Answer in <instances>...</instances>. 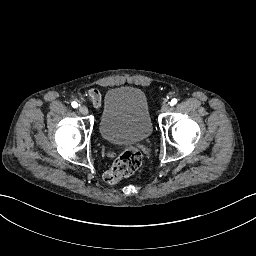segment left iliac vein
Segmentation results:
<instances>
[{
  "label": "left iliac vein",
  "mask_w": 256,
  "mask_h": 256,
  "mask_svg": "<svg viewBox=\"0 0 256 256\" xmlns=\"http://www.w3.org/2000/svg\"><path fill=\"white\" fill-rule=\"evenodd\" d=\"M171 109V105L169 103H163L161 106V111L162 112H167Z\"/></svg>",
  "instance_id": "4c4485c4"
}]
</instances>
